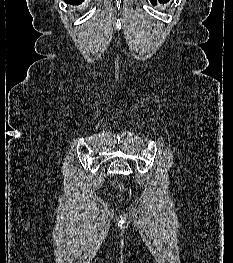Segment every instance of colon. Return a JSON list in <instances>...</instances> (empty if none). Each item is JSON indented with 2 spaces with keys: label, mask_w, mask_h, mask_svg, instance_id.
<instances>
[{
  "label": "colon",
  "mask_w": 233,
  "mask_h": 263,
  "mask_svg": "<svg viewBox=\"0 0 233 263\" xmlns=\"http://www.w3.org/2000/svg\"><path fill=\"white\" fill-rule=\"evenodd\" d=\"M119 187H120V189H121V190H123V187H122V185H121V184L119 185Z\"/></svg>",
  "instance_id": "colon-1"
}]
</instances>
